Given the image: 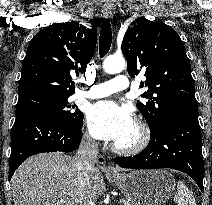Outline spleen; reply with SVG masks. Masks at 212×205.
<instances>
[{
    "mask_svg": "<svg viewBox=\"0 0 212 205\" xmlns=\"http://www.w3.org/2000/svg\"><path fill=\"white\" fill-rule=\"evenodd\" d=\"M177 205H196L195 198L183 181L177 184V192L174 197Z\"/></svg>",
    "mask_w": 212,
    "mask_h": 205,
    "instance_id": "1",
    "label": "spleen"
}]
</instances>
